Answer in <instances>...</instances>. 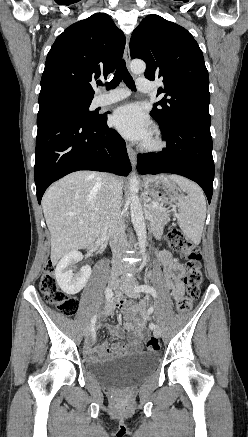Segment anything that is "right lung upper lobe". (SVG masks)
<instances>
[{
	"label": "right lung upper lobe",
	"mask_w": 248,
	"mask_h": 437,
	"mask_svg": "<svg viewBox=\"0 0 248 437\" xmlns=\"http://www.w3.org/2000/svg\"><path fill=\"white\" fill-rule=\"evenodd\" d=\"M125 42L123 32L107 14H93L72 24L56 38L47 55L40 95L61 91L93 98L91 82L115 70Z\"/></svg>",
	"instance_id": "obj_1"
}]
</instances>
